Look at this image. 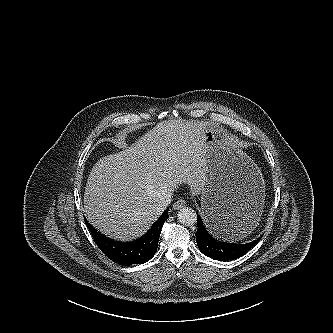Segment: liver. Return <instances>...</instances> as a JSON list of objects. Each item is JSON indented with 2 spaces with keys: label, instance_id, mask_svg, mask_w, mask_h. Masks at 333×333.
I'll use <instances>...</instances> for the list:
<instances>
[{
  "label": "liver",
  "instance_id": "obj_1",
  "mask_svg": "<svg viewBox=\"0 0 333 333\" xmlns=\"http://www.w3.org/2000/svg\"><path fill=\"white\" fill-rule=\"evenodd\" d=\"M206 125L163 121L125 150L101 158L85 188L88 222L109 238L132 240L161 215L157 207L165 193L187 184L200 194L206 182Z\"/></svg>",
  "mask_w": 333,
  "mask_h": 333
}]
</instances>
